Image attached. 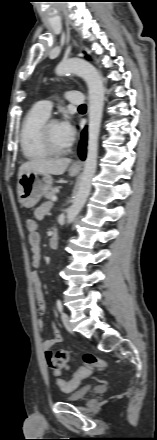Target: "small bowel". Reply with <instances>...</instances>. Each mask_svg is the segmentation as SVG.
Here are the masks:
<instances>
[{"label":"small bowel","mask_w":157,"mask_h":440,"mask_svg":"<svg viewBox=\"0 0 157 440\" xmlns=\"http://www.w3.org/2000/svg\"><path fill=\"white\" fill-rule=\"evenodd\" d=\"M52 208V204L47 202L39 206L35 210V217L38 220L43 219L47 213ZM28 242L31 249L32 254V264L35 268H38L41 263V237L40 234L34 233L29 234L28 236ZM32 279V285H33V291H34V297L35 302L37 304L40 318L37 322V326L40 332L44 331L45 324L43 320V314L45 312L46 303L43 293V287L42 283L39 277V274L37 271H33L31 275ZM53 339H48L43 342V348L45 352V358L47 365L53 370L55 377L62 376L63 372L69 369V360H70V353L68 350L62 349L59 350V354H53L52 348L55 344L60 343L62 341V335L61 330L58 325L53 324Z\"/></svg>","instance_id":"c3829d8e"}]
</instances>
